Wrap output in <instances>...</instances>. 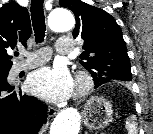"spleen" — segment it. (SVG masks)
Wrapping results in <instances>:
<instances>
[{"mask_svg":"<svg viewBox=\"0 0 153 134\" xmlns=\"http://www.w3.org/2000/svg\"><path fill=\"white\" fill-rule=\"evenodd\" d=\"M125 127L128 131V134H137L138 130H137V124L135 122V117L131 116L125 124Z\"/></svg>","mask_w":153,"mask_h":134,"instance_id":"spleen-1","label":"spleen"}]
</instances>
